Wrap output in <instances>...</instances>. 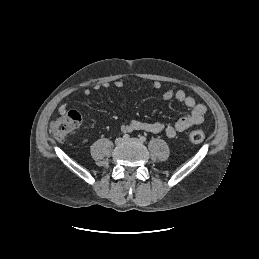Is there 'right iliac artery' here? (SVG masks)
Listing matches in <instances>:
<instances>
[{
    "label": "right iliac artery",
    "instance_id": "82829eb1",
    "mask_svg": "<svg viewBox=\"0 0 259 259\" xmlns=\"http://www.w3.org/2000/svg\"><path fill=\"white\" fill-rule=\"evenodd\" d=\"M129 138H130V136L128 134L123 135V139L128 140Z\"/></svg>",
    "mask_w": 259,
    "mask_h": 259
}]
</instances>
